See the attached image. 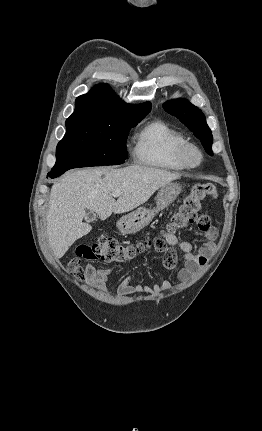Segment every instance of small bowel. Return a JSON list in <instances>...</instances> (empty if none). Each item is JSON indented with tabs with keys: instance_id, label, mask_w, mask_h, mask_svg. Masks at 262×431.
Returning a JSON list of instances; mask_svg holds the SVG:
<instances>
[{
	"instance_id": "c3829d8e",
	"label": "small bowel",
	"mask_w": 262,
	"mask_h": 431,
	"mask_svg": "<svg viewBox=\"0 0 262 431\" xmlns=\"http://www.w3.org/2000/svg\"><path fill=\"white\" fill-rule=\"evenodd\" d=\"M198 228L206 239L203 247L199 249L198 252L194 251V247L190 243L180 240L174 234H168L165 238L166 242L171 247V251L163 253V265L166 269L173 270L177 267L178 257L174 248L179 249L183 254L184 265L179 269L177 275L180 282H188L197 275L208 261V257L215 247L217 231L213 226V217L205 215L199 223ZM86 268V271L79 276V279L88 286L106 290L111 270L108 268H95L91 265H86ZM173 284L174 282L170 279H165L155 284H138L133 283L130 278H124L120 281L118 288L119 292L124 295L135 293L150 295L152 293L165 292L169 290Z\"/></svg>"
}]
</instances>
